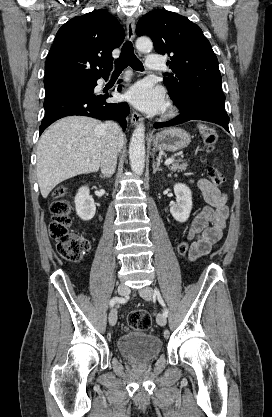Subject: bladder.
<instances>
[{
	"mask_svg": "<svg viewBox=\"0 0 272 417\" xmlns=\"http://www.w3.org/2000/svg\"><path fill=\"white\" fill-rule=\"evenodd\" d=\"M120 354L133 363L143 364L154 360L161 352V340L151 334L128 332L117 343Z\"/></svg>",
	"mask_w": 272,
	"mask_h": 417,
	"instance_id": "31cf9c89",
	"label": "bladder"
}]
</instances>
